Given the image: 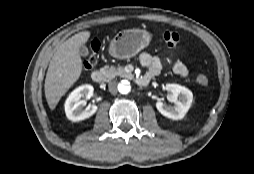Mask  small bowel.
I'll return each instance as SVG.
<instances>
[{"mask_svg": "<svg viewBox=\"0 0 254 174\" xmlns=\"http://www.w3.org/2000/svg\"><path fill=\"white\" fill-rule=\"evenodd\" d=\"M140 63L147 68L145 75L151 77L157 76L166 64V61L159 56H152L147 52H142L139 56ZM173 72L179 76L185 77L188 74L187 67L179 60L170 63Z\"/></svg>", "mask_w": 254, "mask_h": 174, "instance_id": "obj_1", "label": "small bowel"}]
</instances>
